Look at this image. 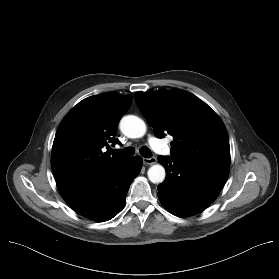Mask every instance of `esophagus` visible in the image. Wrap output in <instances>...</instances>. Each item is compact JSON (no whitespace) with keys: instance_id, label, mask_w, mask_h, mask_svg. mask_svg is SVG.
Masks as SVG:
<instances>
[{"instance_id":"1","label":"esophagus","mask_w":279,"mask_h":279,"mask_svg":"<svg viewBox=\"0 0 279 279\" xmlns=\"http://www.w3.org/2000/svg\"><path fill=\"white\" fill-rule=\"evenodd\" d=\"M157 162V159L155 157H150V158H143V163L145 165H153Z\"/></svg>"}]
</instances>
